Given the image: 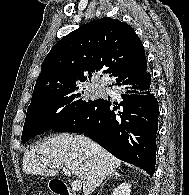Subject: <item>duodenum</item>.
I'll return each mask as SVG.
<instances>
[{"label":"duodenum","mask_w":189,"mask_h":195,"mask_svg":"<svg viewBox=\"0 0 189 195\" xmlns=\"http://www.w3.org/2000/svg\"><path fill=\"white\" fill-rule=\"evenodd\" d=\"M52 190L54 192L55 195H74L65 185V183H63L60 180H56L53 182L52 185Z\"/></svg>","instance_id":"410a0bca"}]
</instances>
